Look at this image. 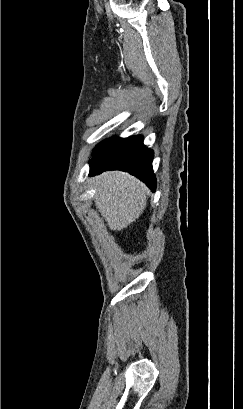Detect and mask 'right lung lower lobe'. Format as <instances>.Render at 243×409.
<instances>
[{"label":"right lung lower lobe","mask_w":243,"mask_h":409,"mask_svg":"<svg viewBox=\"0 0 243 409\" xmlns=\"http://www.w3.org/2000/svg\"><path fill=\"white\" fill-rule=\"evenodd\" d=\"M154 153L143 145L142 136L126 139L111 138L100 143L90 160V174L106 170H122L136 176L152 190H156V177L152 169Z\"/></svg>","instance_id":"98d812e1"}]
</instances>
